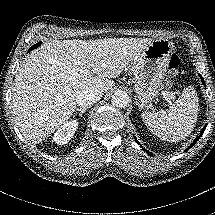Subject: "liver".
<instances>
[{"mask_svg":"<svg viewBox=\"0 0 215 215\" xmlns=\"http://www.w3.org/2000/svg\"><path fill=\"white\" fill-rule=\"evenodd\" d=\"M150 38L54 40L27 54L12 90L16 126L32 144L42 142L76 110L81 92H107L150 45Z\"/></svg>","mask_w":215,"mask_h":215,"instance_id":"6515ba94","label":"liver"}]
</instances>
